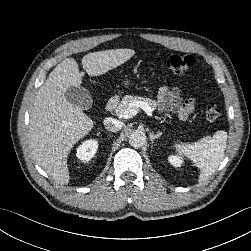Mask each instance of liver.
<instances>
[{"label":"liver","mask_w":251,"mask_h":251,"mask_svg":"<svg viewBox=\"0 0 251 251\" xmlns=\"http://www.w3.org/2000/svg\"><path fill=\"white\" fill-rule=\"evenodd\" d=\"M134 54L132 49L88 53L82 58V67L89 76H99L125 63ZM83 76L77 62L66 58L39 88L31 108L29 143L33 156L59 183H69L68 155L94 126V121L81 108L65 98L67 89L79 87Z\"/></svg>","instance_id":"6515ba94"}]
</instances>
